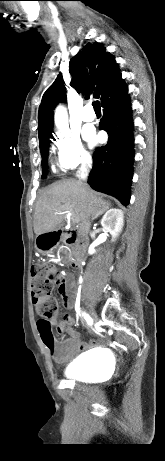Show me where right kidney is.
<instances>
[{
  "instance_id": "ca27d5eb",
  "label": "right kidney",
  "mask_w": 165,
  "mask_h": 461,
  "mask_svg": "<svg viewBox=\"0 0 165 461\" xmlns=\"http://www.w3.org/2000/svg\"><path fill=\"white\" fill-rule=\"evenodd\" d=\"M101 225L106 232L112 235V241L114 242L121 233L124 225L123 211L116 208L108 210L101 219ZM94 247V244L89 247V253L92 254L95 252Z\"/></svg>"
}]
</instances>
